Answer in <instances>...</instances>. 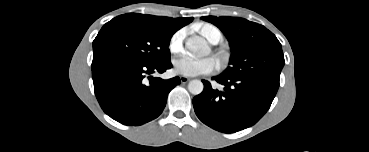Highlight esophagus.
Segmentation results:
<instances>
[{
	"label": "esophagus",
	"mask_w": 369,
	"mask_h": 152,
	"mask_svg": "<svg viewBox=\"0 0 369 152\" xmlns=\"http://www.w3.org/2000/svg\"><path fill=\"white\" fill-rule=\"evenodd\" d=\"M190 79L186 76H180V81L181 83L185 84L189 81Z\"/></svg>",
	"instance_id": "obj_1"
}]
</instances>
